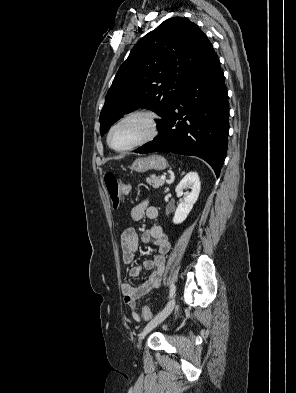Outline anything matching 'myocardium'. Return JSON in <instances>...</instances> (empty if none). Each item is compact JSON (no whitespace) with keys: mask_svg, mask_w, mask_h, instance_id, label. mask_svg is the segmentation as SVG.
I'll use <instances>...</instances> for the list:
<instances>
[{"mask_svg":"<svg viewBox=\"0 0 296 393\" xmlns=\"http://www.w3.org/2000/svg\"><path fill=\"white\" fill-rule=\"evenodd\" d=\"M134 117H140V118H143L147 121V123L149 124L148 134L144 138H142L141 140L135 142L134 144H132L128 147L121 148V149L114 148L111 144V134H112L113 130L120 123H122L125 120H128L130 118H134ZM158 133H159V117H158V115L152 111H149V110H135V111H131V112L123 115L122 117H120L109 128V131L107 133V143L112 150H114L116 152H125V151L135 149L137 147L143 146V145L151 142L152 140H154L157 137Z\"/></svg>","mask_w":296,"mask_h":393,"instance_id":"myocardium-1","label":"myocardium"}]
</instances>
